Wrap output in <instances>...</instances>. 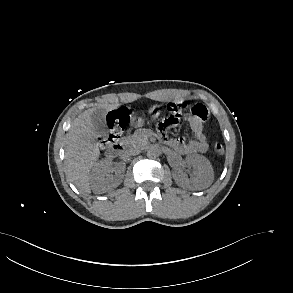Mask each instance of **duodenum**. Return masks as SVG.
I'll list each match as a JSON object with an SVG mask.
<instances>
[{
	"mask_svg": "<svg viewBox=\"0 0 293 293\" xmlns=\"http://www.w3.org/2000/svg\"><path fill=\"white\" fill-rule=\"evenodd\" d=\"M127 144H128L127 137L123 136L117 144H115L111 149L107 151L108 155L111 157H118L124 154Z\"/></svg>",
	"mask_w": 293,
	"mask_h": 293,
	"instance_id": "1",
	"label": "duodenum"
}]
</instances>
